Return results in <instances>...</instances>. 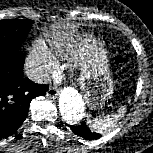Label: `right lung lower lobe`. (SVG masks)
I'll return each instance as SVG.
<instances>
[{"mask_svg":"<svg viewBox=\"0 0 153 153\" xmlns=\"http://www.w3.org/2000/svg\"><path fill=\"white\" fill-rule=\"evenodd\" d=\"M25 56L20 50L0 48V139L12 135L24 122L32 99L47 86L24 77Z\"/></svg>","mask_w":153,"mask_h":153,"instance_id":"obj_1","label":"right lung lower lobe"}]
</instances>
